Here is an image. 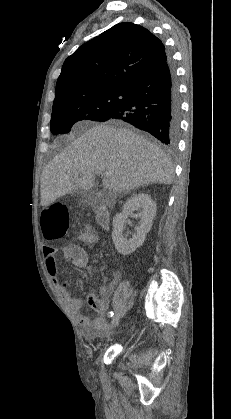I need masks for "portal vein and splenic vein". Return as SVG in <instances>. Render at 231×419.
Instances as JSON below:
<instances>
[{
  "instance_id": "obj_1",
  "label": "portal vein and splenic vein",
  "mask_w": 231,
  "mask_h": 419,
  "mask_svg": "<svg viewBox=\"0 0 231 419\" xmlns=\"http://www.w3.org/2000/svg\"><path fill=\"white\" fill-rule=\"evenodd\" d=\"M98 174H102L104 176H107L108 175L107 173H100V172ZM75 177H78V174H76Z\"/></svg>"
}]
</instances>
